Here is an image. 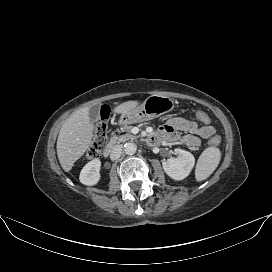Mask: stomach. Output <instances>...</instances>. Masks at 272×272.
I'll use <instances>...</instances> for the list:
<instances>
[{
  "mask_svg": "<svg viewBox=\"0 0 272 272\" xmlns=\"http://www.w3.org/2000/svg\"><path fill=\"white\" fill-rule=\"evenodd\" d=\"M175 106L173 99L162 95H151L141 105L120 116L123 125L144 122L170 112Z\"/></svg>",
  "mask_w": 272,
  "mask_h": 272,
  "instance_id": "0dacf381",
  "label": "stomach"
}]
</instances>
